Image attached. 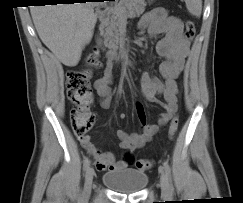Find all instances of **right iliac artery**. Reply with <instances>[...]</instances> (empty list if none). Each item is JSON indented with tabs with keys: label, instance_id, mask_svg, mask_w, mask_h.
Masks as SVG:
<instances>
[{
	"label": "right iliac artery",
	"instance_id": "obj_1",
	"mask_svg": "<svg viewBox=\"0 0 243 203\" xmlns=\"http://www.w3.org/2000/svg\"><path fill=\"white\" fill-rule=\"evenodd\" d=\"M89 165H90V160L88 157H85L84 161H83V170L86 171L88 169Z\"/></svg>",
	"mask_w": 243,
	"mask_h": 203
}]
</instances>
